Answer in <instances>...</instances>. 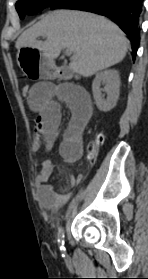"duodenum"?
Wrapping results in <instances>:
<instances>
[{
  "mask_svg": "<svg viewBox=\"0 0 148 279\" xmlns=\"http://www.w3.org/2000/svg\"><path fill=\"white\" fill-rule=\"evenodd\" d=\"M57 75L59 78L66 80L75 77V73L67 66H61L57 68Z\"/></svg>",
  "mask_w": 148,
  "mask_h": 279,
  "instance_id": "duodenum-1",
  "label": "duodenum"
}]
</instances>
